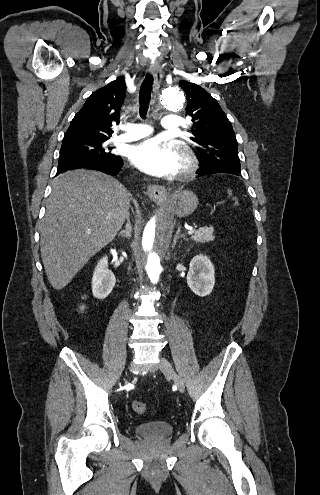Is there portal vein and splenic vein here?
I'll use <instances>...</instances> for the list:
<instances>
[{"label":"portal vein and splenic vein","instance_id":"1","mask_svg":"<svg viewBox=\"0 0 320 495\" xmlns=\"http://www.w3.org/2000/svg\"><path fill=\"white\" fill-rule=\"evenodd\" d=\"M194 232H195V230L190 229V230L188 231V235H192Z\"/></svg>","mask_w":320,"mask_h":495}]
</instances>
